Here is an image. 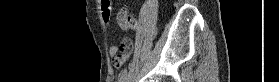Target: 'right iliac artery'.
Returning a JSON list of instances; mask_svg holds the SVG:
<instances>
[{
	"mask_svg": "<svg viewBox=\"0 0 279 82\" xmlns=\"http://www.w3.org/2000/svg\"><path fill=\"white\" fill-rule=\"evenodd\" d=\"M126 75H127V69L125 68L121 72V77L119 79V82H125Z\"/></svg>",
	"mask_w": 279,
	"mask_h": 82,
	"instance_id": "82829eb1",
	"label": "right iliac artery"
}]
</instances>
